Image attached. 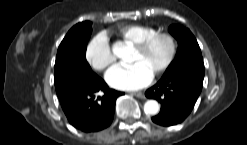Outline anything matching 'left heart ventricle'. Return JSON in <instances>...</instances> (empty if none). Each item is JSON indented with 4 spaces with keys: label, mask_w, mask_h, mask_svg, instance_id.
<instances>
[{
    "label": "left heart ventricle",
    "mask_w": 247,
    "mask_h": 145,
    "mask_svg": "<svg viewBox=\"0 0 247 145\" xmlns=\"http://www.w3.org/2000/svg\"><path fill=\"white\" fill-rule=\"evenodd\" d=\"M168 53V41L164 38H160L157 39L144 53H140L135 49L130 63H141L153 74L164 63Z\"/></svg>",
    "instance_id": "b2bd125f"
}]
</instances>
